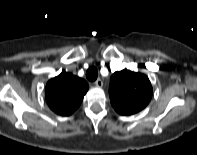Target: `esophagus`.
<instances>
[{"label": "esophagus", "mask_w": 197, "mask_h": 155, "mask_svg": "<svg viewBox=\"0 0 197 155\" xmlns=\"http://www.w3.org/2000/svg\"><path fill=\"white\" fill-rule=\"evenodd\" d=\"M94 84L96 87L101 88L103 86V81L101 79H97Z\"/></svg>", "instance_id": "1"}]
</instances>
